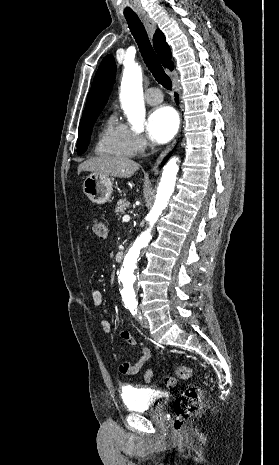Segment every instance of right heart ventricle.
Instances as JSON below:
<instances>
[{
	"label": "right heart ventricle",
	"instance_id": "obj_1",
	"mask_svg": "<svg viewBox=\"0 0 279 465\" xmlns=\"http://www.w3.org/2000/svg\"><path fill=\"white\" fill-rule=\"evenodd\" d=\"M96 153L103 156L130 157L134 154L127 126L116 115H110L96 145Z\"/></svg>",
	"mask_w": 279,
	"mask_h": 465
}]
</instances>
